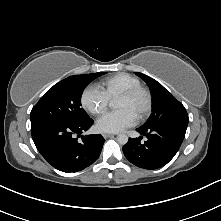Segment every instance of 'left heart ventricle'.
I'll return each mask as SVG.
<instances>
[{"label":"left heart ventricle","mask_w":221,"mask_h":221,"mask_svg":"<svg viewBox=\"0 0 221 221\" xmlns=\"http://www.w3.org/2000/svg\"><path fill=\"white\" fill-rule=\"evenodd\" d=\"M145 105H146V97L144 94H138L130 99L118 98L116 101V108L118 110L127 109L135 117L139 115V113L143 110Z\"/></svg>","instance_id":"obj_1"}]
</instances>
